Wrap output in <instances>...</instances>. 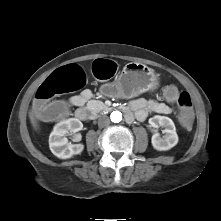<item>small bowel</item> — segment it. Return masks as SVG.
<instances>
[{"mask_svg":"<svg viewBox=\"0 0 221 221\" xmlns=\"http://www.w3.org/2000/svg\"><path fill=\"white\" fill-rule=\"evenodd\" d=\"M91 97L92 92L86 89L83 90L80 94L71 97L69 102L72 106L80 107L83 106L87 101H89ZM129 108L134 111L135 117L139 121H144L150 113L163 115L171 113V107L169 105L153 99H134L130 102Z\"/></svg>","mask_w":221,"mask_h":221,"instance_id":"small-bowel-1","label":"small bowel"}]
</instances>
